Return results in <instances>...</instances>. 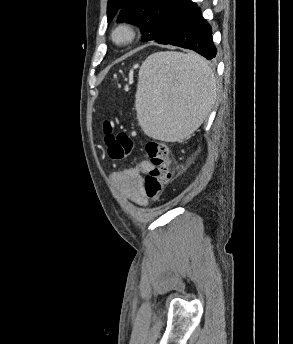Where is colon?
<instances>
[{
	"label": "colon",
	"instance_id": "5ec220e1",
	"mask_svg": "<svg viewBox=\"0 0 293 344\" xmlns=\"http://www.w3.org/2000/svg\"><path fill=\"white\" fill-rule=\"evenodd\" d=\"M103 129L109 157L114 161L124 160L133 148L129 136L125 132L115 133L109 121L104 122ZM145 150L153 167L143 179V191L148 199L156 201L171 179L169 147L164 142L151 140Z\"/></svg>",
	"mask_w": 293,
	"mask_h": 344
}]
</instances>
